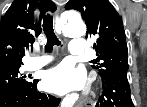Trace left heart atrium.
<instances>
[{
    "label": "left heart atrium",
    "mask_w": 147,
    "mask_h": 107,
    "mask_svg": "<svg viewBox=\"0 0 147 107\" xmlns=\"http://www.w3.org/2000/svg\"><path fill=\"white\" fill-rule=\"evenodd\" d=\"M84 84V71L80 68H75L69 63H61L48 70L42 80V85L45 90L58 95L79 90Z\"/></svg>",
    "instance_id": "1"
}]
</instances>
